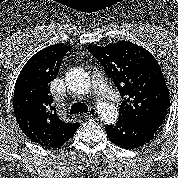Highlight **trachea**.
<instances>
[{"mask_svg": "<svg viewBox=\"0 0 178 178\" xmlns=\"http://www.w3.org/2000/svg\"><path fill=\"white\" fill-rule=\"evenodd\" d=\"M88 106L84 103H73L70 109L71 114L87 113Z\"/></svg>", "mask_w": 178, "mask_h": 178, "instance_id": "obj_1", "label": "trachea"}]
</instances>
